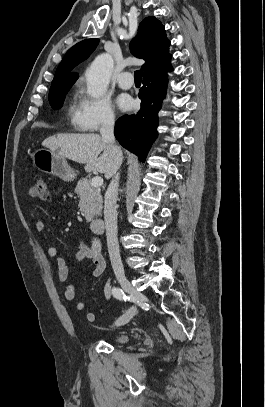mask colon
<instances>
[{
	"label": "colon",
	"mask_w": 265,
	"mask_h": 407,
	"mask_svg": "<svg viewBox=\"0 0 265 407\" xmlns=\"http://www.w3.org/2000/svg\"><path fill=\"white\" fill-rule=\"evenodd\" d=\"M31 196L39 199H46L48 196L47 182L44 177H36L30 190Z\"/></svg>",
	"instance_id": "1"
}]
</instances>
